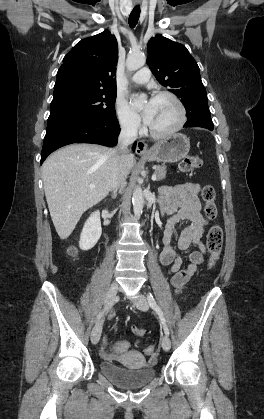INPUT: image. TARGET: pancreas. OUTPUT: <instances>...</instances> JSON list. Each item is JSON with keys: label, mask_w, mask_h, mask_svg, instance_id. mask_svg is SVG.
Here are the masks:
<instances>
[{"label": "pancreas", "mask_w": 264, "mask_h": 419, "mask_svg": "<svg viewBox=\"0 0 264 419\" xmlns=\"http://www.w3.org/2000/svg\"><path fill=\"white\" fill-rule=\"evenodd\" d=\"M155 174L157 176V180H162L166 177V166H158L155 170Z\"/></svg>", "instance_id": "obj_1"}]
</instances>
